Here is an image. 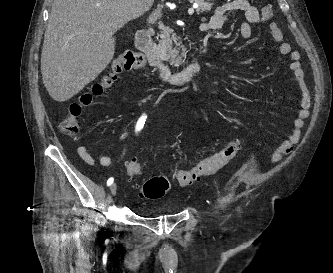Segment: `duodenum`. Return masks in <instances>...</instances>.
<instances>
[{
	"instance_id": "1",
	"label": "duodenum",
	"mask_w": 333,
	"mask_h": 273,
	"mask_svg": "<svg viewBox=\"0 0 333 273\" xmlns=\"http://www.w3.org/2000/svg\"><path fill=\"white\" fill-rule=\"evenodd\" d=\"M136 46L138 51L152 66L158 75V78L171 86L180 87L193 81L200 73V64L198 61H192L185 69L177 73H171L164 62L156 53L152 34L148 29H140L136 32Z\"/></svg>"
}]
</instances>
